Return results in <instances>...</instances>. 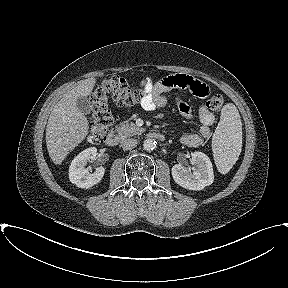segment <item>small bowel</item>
Returning a JSON list of instances; mask_svg holds the SVG:
<instances>
[{
    "label": "small bowel",
    "instance_id": "obj_1",
    "mask_svg": "<svg viewBox=\"0 0 288 288\" xmlns=\"http://www.w3.org/2000/svg\"><path fill=\"white\" fill-rule=\"evenodd\" d=\"M140 85L146 90V95L141 101V106L148 111L165 107L167 99L164 94L170 91H173L176 95H180L183 90L188 89L194 95L202 98L207 97L210 93L209 88L204 83L184 74L168 76L156 82L147 78L142 80ZM177 107L183 117L187 119L191 118L192 112L190 107L180 98H177ZM198 116L200 121L198 133L186 132L180 137L181 143L186 146L197 147L209 139L211 135L210 127L215 121L213 112L206 105H202L199 108Z\"/></svg>",
    "mask_w": 288,
    "mask_h": 288
}]
</instances>
